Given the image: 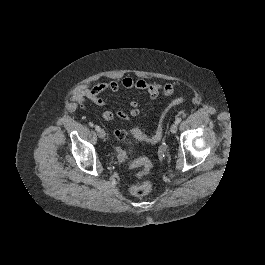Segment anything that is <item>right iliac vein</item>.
Instances as JSON below:
<instances>
[{
  "mask_svg": "<svg viewBox=\"0 0 265 265\" xmlns=\"http://www.w3.org/2000/svg\"><path fill=\"white\" fill-rule=\"evenodd\" d=\"M98 135L101 139L105 138L106 136V133L103 129H100L99 132H98Z\"/></svg>",
  "mask_w": 265,
  "mask_h": 265,
  "instance_id": "obj_1",
  "label": "right iliac vein"
}]
</instances>
